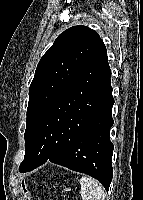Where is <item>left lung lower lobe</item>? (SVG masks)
<instances>
[{
  "mask_svg": "<svg viewBox=\"0 0 143 200\" xmlns=\"http://www.w3.org/2000/svg\"><path fill=\"white\" fill-rule=\"evenodd\" d=\"M106 48L43 110L33 130L32 155L20 172L46 161L86 173L108 191L113 176L110 141L114 99Z\"/></svg>",
  "mask_w": 143,
  "mask_h": 200,
  "instance_id": "left-lung-lower-lobe-1",
  "label": "left lung lower lobe"
}]
</instances>
